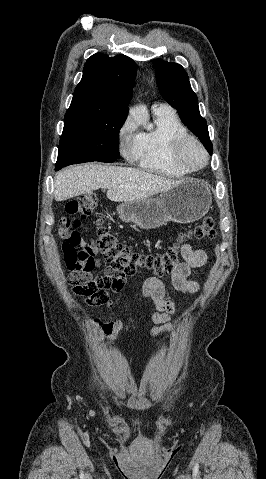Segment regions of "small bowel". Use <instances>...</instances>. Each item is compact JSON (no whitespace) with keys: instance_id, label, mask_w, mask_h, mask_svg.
Instances as JSON below:
<instances>
[{"instance_id":"obj_1","label":"small bowel","mask_w":266,"mask_h":479,"mask_svg":"<svg viewBox=\"0 0 266 479\" xmlns=\"http://www.w3.org/2000/svg\"><path fill=\"white\" fill-rule=\"evenodd\" d=\"M182 262L175 268L171 275V283L175 290L193 294L199 289L197 281L190 279L193 269L202 267L207 260V254L203 249H194L190 244H183L181 247ZM105 273L110 276L118 275L111 269ZM125 282V277H122ZM143 296L155 306L152 313V321L155 326L151 329L153 336L162 335L172 329L171 316L175 312V304L166 298V289L162 281L155 277L147 278L142 286ZM106 306L109 310L113 308V302L108 301ZM91 324L99 331L103 339L112 342L116 339L119 331L127 328L130 322L114 320L110 318L102 323L97 318L91 319Z\"/></svg>"}]
</instances>
